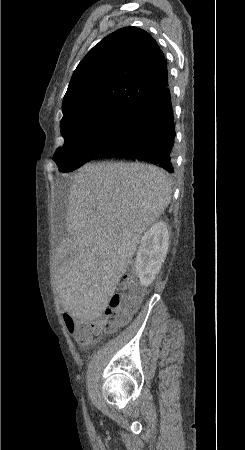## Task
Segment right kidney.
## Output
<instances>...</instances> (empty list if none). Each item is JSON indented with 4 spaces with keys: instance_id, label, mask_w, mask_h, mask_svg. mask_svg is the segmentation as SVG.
I'll return each instance as SVG.
<instances>
[{
    "instance_id": "1",
    "label": "right kidney",
    "mask_w": 245,
    "mask_h": 450,
    "mask_svg": "<svg viewBox=\"0 0 245 450\" xmlns=\"http://www.w3.org/2000/svg\"><path fill=\"white\" fill-rule=\"evenodd\" d=\"M169 247V232L163 221L155 223L142 237L136 255V274L143 286H149L160 271Z\"/></svg>"
}]
</instances>
